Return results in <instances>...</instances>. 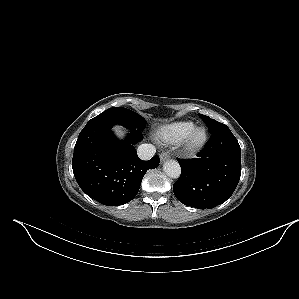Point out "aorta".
Segmentation results:
<instances>
[{
    "mask_svg": "<svg viewBox=\"0 0 299 299\" xmlns=\"http://www.w3.org/2000/svg\"><path fill=\"white\" fill-rule=\"evenodd\" d=\"M163 171L168 177L177 179L181 174V167L177 161L167 160L163 164Z\"/></svg>",
    "mask_w": 299,
    "mask_h": 299,
    "instance_id": "aorta-1",
    "label": "aorta"
}]
</instances>
